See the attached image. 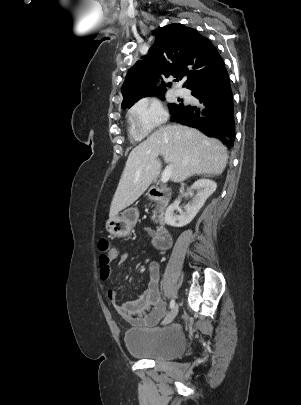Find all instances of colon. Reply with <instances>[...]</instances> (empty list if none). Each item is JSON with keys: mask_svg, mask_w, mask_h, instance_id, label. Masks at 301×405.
I'll return each instance as SVG.
<instances>
[{"mask_svg": "<svg viewBox=\"0 0 301 405\" xmlns=\"http://www.w3.org/2000/svg\"><path fill=\"white\" fill-rule=\"evenodd\" d=\"M99 251L101 253V257H107L109 251L111 249L110 244L105 239H101L98 243Z\"/></svg>", "mask_w": 301, "mask_h": 405, "instance_id": "obj_1", "label": "colon"}]
</instances>
